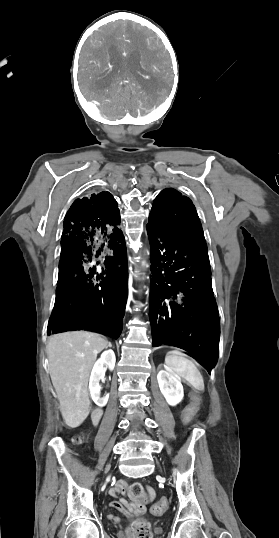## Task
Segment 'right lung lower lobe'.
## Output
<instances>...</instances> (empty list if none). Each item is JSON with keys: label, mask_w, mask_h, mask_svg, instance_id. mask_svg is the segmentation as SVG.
Instances as JSON below:
<instances>
[{"label": "right lung lower lobe", "mask_w": 279, "mask_h": 538, "mask_svg": "<svg viewBox=\"0 0 279 538\" xmlns=\"http://www.w3.org/2000/svg\"><path fill=\"white\" fill-rule=\"evenodd\" d=\"M109 192L76 199L66 213L56 299L47 334L97 330L114 338L128 296L125 237Z\"/></svg>", "instance_id": "right-lung-lower-lobe-1"}]
</instances>
